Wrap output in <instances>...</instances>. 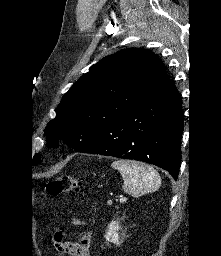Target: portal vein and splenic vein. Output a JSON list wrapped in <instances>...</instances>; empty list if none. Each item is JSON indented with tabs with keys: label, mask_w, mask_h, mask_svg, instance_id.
Returning <instances> with one entry per match:
<instances>
[{
	"label": "portal vein and splenic vein",
	"mask_w": 221,
	"mask_h": 256,
	"mask_svg": "<svg viewBox=\"0 0 221 256\" xmlns=\"http://www.w3.org/2000/svg\"><path fill=\"white\" fill-rule=\"evenodd\" d=\"M124 200H125V197L120 196L119 201L122 202V201H124Z\"/></svg>",
	"instance_id": "portal-vein-and-splenic-vein-1"
}]
</instances>
